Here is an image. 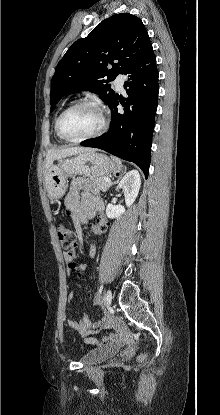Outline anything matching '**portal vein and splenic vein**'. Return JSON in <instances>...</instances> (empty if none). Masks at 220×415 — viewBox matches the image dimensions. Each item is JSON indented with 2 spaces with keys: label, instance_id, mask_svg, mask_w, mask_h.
I'll use <instances>...</instances> for the list:
<instances>
[{
  "label": "portal vein and splenic vein",
  "instance_id": "18ae733b",
  "mask_svg": "<svg viewBox=\"0 0 220 415\" xmlns=\"http://www.w3.org/2000/svg\"><path fill=\"white\" fill-rule=\"evenodd\" d=\"M105 181H106V182H111L110 178H108V177H107V178H105Z\"/></svg>",
  "mask_w": 220,
  "mask_h": 415
}]
</instances>
